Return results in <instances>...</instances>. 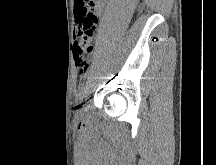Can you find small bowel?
Instances as JSON below:
<instances>
[{"mask_svg": "<svg viewBox=\"0 0 216 165\" xmlns=\"http://www.w3.org/2000/svg\"><path fill=\"white\" fill-rule=\"evenodd\" d=\"M106 1L107 0H74L76 28L79 26L80 21L86 13L84 11H91L97 18L103 13Z\"/></svg>", "mask_w": 216, "mask_h": 165, "instance_id": "obj_1", "label": "small bowel"}]
</instances>
